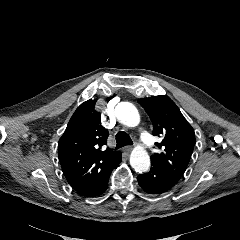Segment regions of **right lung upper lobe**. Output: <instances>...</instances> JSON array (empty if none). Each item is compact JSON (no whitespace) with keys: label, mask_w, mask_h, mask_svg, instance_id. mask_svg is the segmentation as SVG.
Wrapping results in <instances>:
<instances>
[{"label":"right lung upper lobe","mask_w":240,"mask_h":240,"mask_svg":"<svg viewBox=\"0 0 240 240\" xmlns=\"http://www.w3.org/2000/svg\"><path fill=\"white\" fill-rule=\"evenodd\" d=\"M96 102L90 99L77 108L58 143L62 171L82 196L91 194L121 162L119 151L105 149L109 134L101 125Z\"/></svg>","instance_id":"obj_1"}]
</instances>
